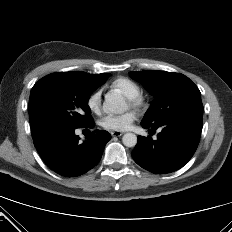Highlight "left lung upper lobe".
Segmentation results:
<instances>
[{
    "instance_id": "5c2ea615",
    "label": "left lung upper lobe",
    "mask_w": 232,
    "mask_h": 232,
    "mask_svg": "<svg viewBox=\"0 0 232 232\" xmlns=\"http://www.w3.org/2000/svg\"><path fill=\"white\" fill-rule=\"evenodd\" d=\"M129 75L155 97L143 122L156 126L179 114L202 111L199 89L183 74L146 70L129 72Z\"/></svg>"
}]
</instances>
